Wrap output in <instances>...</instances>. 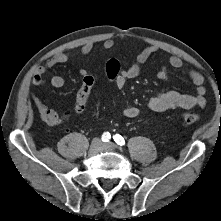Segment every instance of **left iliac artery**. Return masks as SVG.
I'll list each match as a JSON object with an SVG mask.
<instances>
[{"mask_svg":"<svg viewBox=\"0 0 221 221\" xmlns=\"http://www.w3.org/2000/svg\"><path fill=\"white\" fill-rule=\"evenodd\" d=\"M113 139H114V141H115L118 145H120V146H122V145L125 144L124 138H123L121 135H119V134L114 135V136H113Z\"/></svg>","mask_w":221,"mask_h":221,"instance_id":"obj_1","label":"left iliac artery"}]
</instances>
